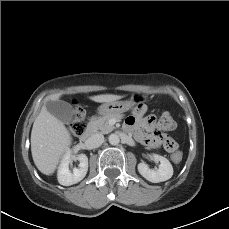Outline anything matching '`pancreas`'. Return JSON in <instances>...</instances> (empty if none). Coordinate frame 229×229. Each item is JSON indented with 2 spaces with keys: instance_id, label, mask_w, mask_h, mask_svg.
Wrapping results in <instances>:
<instances>
[{
  "instance_id": "cf45deb5",
  "label": "pancreas",
  "mask_w": 229,
  "mask_h": 229,
  "mask_svg": "<svg viewBox=\"0 0 229 229\" xmlns=\"http://www.w3.org/2000/svg\"><path fill=\"white\" fill-rule=\"evenodd\" d=\"M121 118H122L121 114L104 115L92 121L89 126L94 132L100 130L101 133L107 134L115 129V127L109 123V120L110 119L118 120Z\"/></svg>"
}]
</instances>
